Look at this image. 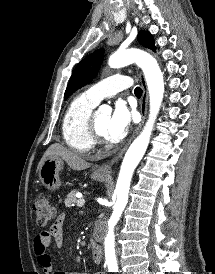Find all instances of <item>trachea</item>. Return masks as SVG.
Segmentation results:
<instances>
[{
  "label": "trachea",
  "instance_id": "obj_1",
  "mask_svg": "<svg viewBox=\"0 0 215 274\" xmlns=\"http://www.w3.org/2000/svg\"><path fill=\"white\" fill-rule=\"evenodd\" d=\"M134 92L137 97H141L143 91L140 87H136Z\"/></svg>",
  "mask_w": 215,
  "mask_h": 274
}]
</instances>
